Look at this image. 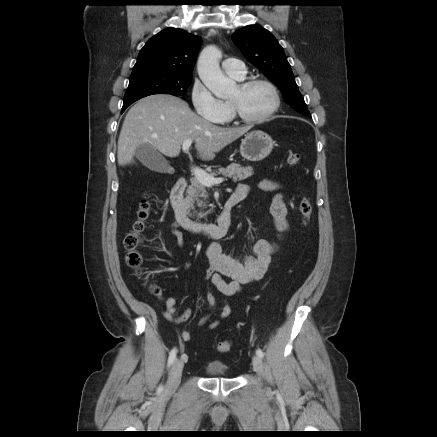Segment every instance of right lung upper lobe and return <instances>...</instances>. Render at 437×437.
Segmentation results:
<instances>
[{
    "label": "right lung upper lobe",
    "mask_w": 437,
    "mask_h": 437,
    "mask_svg": "<svg viewBox=\"0 0 437 437\" xmlns=\"http://www.w3.org/2000/svg\"><path fill=\"white\" fill-rule=\"evenodd\" d=\"M200 44L198 36L181 29H165L141 49L133 72L152 69L171 75H192Z\"/></svg>",
    "instance_id": "right-lung-upper-lobe-1"
}]
</instances>
